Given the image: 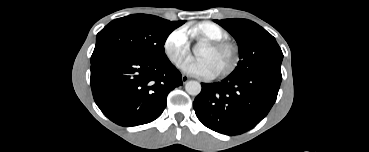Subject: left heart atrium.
<instances>
[{
	"instance_id": "left-heart-atrium-1",
	"label": "left heart atrium",
	"mask_w": 369,
	"mask_h": 152,
	"mask_svg": "<svg viewBox=\"0 0 369 152\" xmlns=\"http://www.w3.org/2000/svg\"><path fill=\"white\" fill-rule=\"evenodd\" d=\"M181 69L190 76L200 78H212L216 74L211 63L206 59L189 60L182 64Z\"/></svg>"
}]
</instances>
